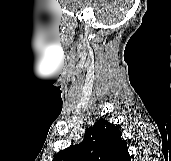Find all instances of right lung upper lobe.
I'll use <instances>...</instances> for the list:
<instances>
[{
    "label": "right lung upper lobe",
    "mask_w": 171,
    "mask_h": 161,
    "mask_svg": "<svg viewBox=\"0 0 171 161\" xmlns=\"http://www.w3.org/2000/svg\"><path fill=\"white\" fill-rule=\"evenodd\" d=\"M53 161H131L118 127L104 119L85 132L84 140L58 152Z\"/></svg>",
    "instance_id": "cb5924a9"
}]
</instances>
